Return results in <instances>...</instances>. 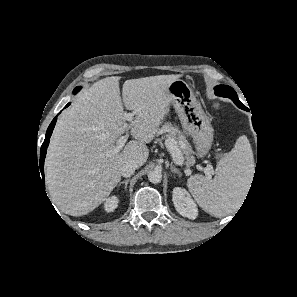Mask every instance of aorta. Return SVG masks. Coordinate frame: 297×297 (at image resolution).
I'll return each instance as SVG.
<instances>
[{"label":"aorta","instance_id":"1","mask_svg":"<svg viewBox=\"0 0 297 297\" xmlns=\"http://www.w3.org/2000/svg\"><path fill=\"white\" fill-rule=\"evenodd\" d=\"M148 180L153 183L157 184L160 183L162 180V173L160 170H153L148 174Z\"/></svg>","mask_w":297,"mask_h":297}]
</instances>
